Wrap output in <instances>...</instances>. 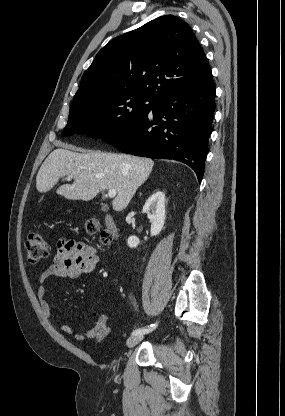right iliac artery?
<instances>
[{
    "label": "right iliac artery",
    "mask_w": 285,
    "mask_h": 416,
    "mask_svg": "<svg viewBox=\"0 0 285 416\" xmlns=\"http://www.w3.org/2000/svg\"><path fill=\"white\" fill-rule=\"evenodd\" d=\"M156 327H157V323L151 324V325H148V326H145V327H142V328H138V329H136L132 332V335H139V334L149 333L152 330H154Z\"/></svg>",
    "instance_id": "right-iliac-artery-1"
}]
</instances>
